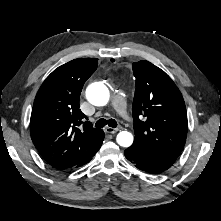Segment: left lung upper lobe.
<instances>
[{"instance_id":"1","label":"left lung upper lobe","mask_w":221,"mask_h":221,"mask_svg":"<svg viewBox=\"0 0 221 221\" xmlns=\"http://www.w3.org/2000/svg\"><path fill=\"white\" fill-rule=\"evenodd\" d=\"M132 67L136 78L133 145L174 163L188 129L182 94L171 78L152 63L139 61Z\"/></svg>"}]
</instances>
